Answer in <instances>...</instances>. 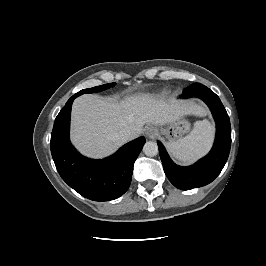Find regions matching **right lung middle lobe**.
Listing matches in <instances>:
<instances>
[{
  "label": "right lung middle lobe",
  "mask_w": 266,
  "mask_h": 266,
  "mask_svg": "<svg viewBox=\"0 0 266 266\" xmlns=\"http://www.w3.org/2000/svg\"><path fill=\"white\" fill-rule=\"evenodd\" d=\"M114 85H115V83H108V84L97 86V87H93V88H90V89H84V90H81L78 93H76L75 96H80V95H82L84 93L100 92V91H103V90H105L107 88H110V87H112Z\"/></svg>",
  "instance_id": "right-lung-middle-lobe-1"
}]
</instances>
